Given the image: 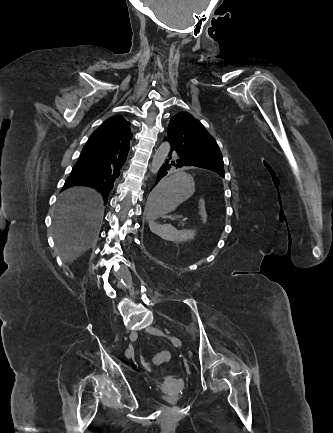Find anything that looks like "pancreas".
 I'll return each instance as SVG.
<instances>
[{
	"mask_svg": "<svg viewBox=\"0 0 333 433\" xmlns=\"http://www.w3.org/2000/svg\"><path fill=\"white\" fill-rule=\"evenodd\" d=\"M180 225H182V226H183V225H184V223H181Z\"/></svg>",
	"mask_w": 333,
	"mask_h": 433,
	"instance_id": "cf45deb5",
	"label": "pancreas"
}]
</instances>
